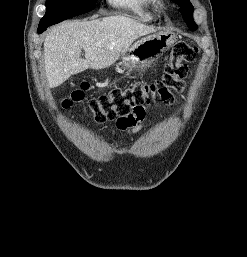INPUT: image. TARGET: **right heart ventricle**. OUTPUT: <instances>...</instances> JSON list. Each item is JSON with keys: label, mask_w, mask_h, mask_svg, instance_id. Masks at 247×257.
I'll return each instance as SVG.
<instances>
[{"label": "right heart ventricle", "mask_w": 247, "mask_h": 257, "mask_svg": "<svg viewBox=\"0 0 247 257\" xmlns=\"http://www.w3.org/2000/svg\"><path fill=\"white\" fill-rule=\"evenodd\" d=\"M114 8L126 11L143 22L152 21L155 17L156 0H107Z\"/></svg>", "instance_id": "e07e8e85"}]
</instances>
